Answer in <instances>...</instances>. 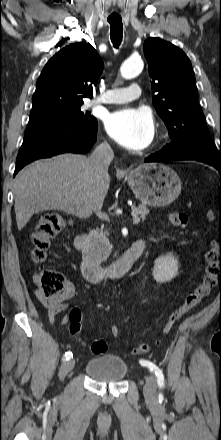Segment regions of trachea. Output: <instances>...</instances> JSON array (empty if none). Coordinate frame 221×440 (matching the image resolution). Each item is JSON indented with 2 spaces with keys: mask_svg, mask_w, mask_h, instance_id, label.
<instances>
[{
  "mask_svg": "<svg viewBox=\"0 0 221 440\" xmlns=\"http://www.w3.org/2000/svg\"><path fill=\"white\" fill-rule=\"evenodd\" d=\"M110 24V37L115 48H118L122 42L123 24L120 17L108 18Z\"/></svg>",
  "mask_w": 221,
  "mask_h": 440,
  "instance_id": "3493384b",
  "label": "trachea"
}]
</instances>
